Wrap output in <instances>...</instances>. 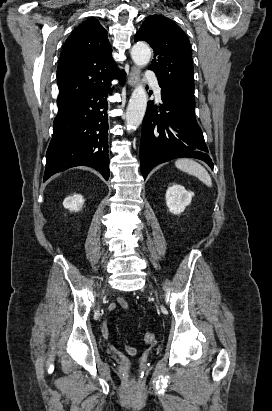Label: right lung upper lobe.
Wrapping results in <instances>:
<instances>
[{"label":"right lung upper lobe","instance_id":"cb5924a9","mask_svg":"<svg viewBox=\"0 0 272 411\" xmlns=\"http://www.w3.org/2000/svg\"><path fill=\"white\" fill-rule=\"evenodd\" d=\"M116 73L107 31L95 18L84 21L68 37L60 56L57 104L92 91L109 82Z\"/></svg>","mask_w":272,"mask_h":411}]
</instances>
